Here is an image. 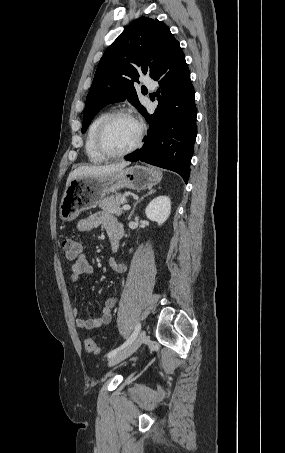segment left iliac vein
Returning a JSON list of instances; mask_svg holds the SVG:
<instances>
[{
  "label": "left iliac vein",
  "instance_id": "left-iliac-vein-1",
  "mask_svg": "<svg viewBox=\"0 0 285 453\" xmlns=\"http://www.w3.org/2000/svg\"><path fill=\"white\" fill-rule=\"evenodd\" d=\"M145 339H146V332L143 330L140 332V334L136 337V339L131 344H129L125 349L118 352L115 356H113L109 359L108 366L109 367L115 366L118 363H120L121 361L128 358L140 347V345L144 342Z\"/></svg>",
  "mask_w": 285,
  "mask_h": 453
}]
</instances>
